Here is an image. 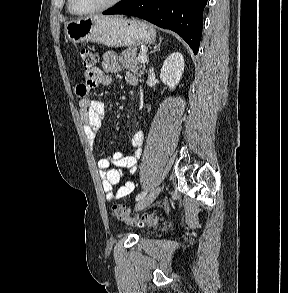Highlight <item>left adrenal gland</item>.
<instances>
[{
    "label": "left adrenal gland",
    "instance_id": "1",
    "mask_svg": "<svg viewBox=\"0 0 288 293\" xmlns=\"http://www.w3.org/2000/svg\"><path fill=\"white\" fill-rule=\"evenodd\" d=\"M161 42H162V39H160L159 43L154 47V50L151 51V53H154L155 51L159 50L160 49V46H161Z\"/></svg>",
    "mask_w": 288,
    "mask_h": 293
}]
</instances>
